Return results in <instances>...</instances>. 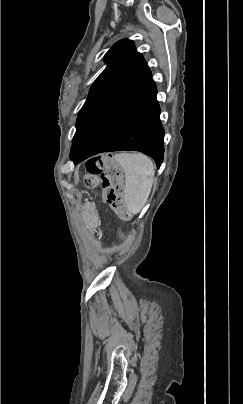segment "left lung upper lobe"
<instances>
[{
    "label": "left lung upper lobe",
    "instance_id": "left-lung-upper-lobe-1",
    "mask_svg": "<svg viewBox=\"0 0 243 404\" xmlns=\"http://www.w3.org/2000/svg\"><path fill=\"white\" fill-rule=\"evenodd\" d=\"M107 67L92 84L78 113L70 158L83 144L89 131L109 108L151 78V71L131 40L118 41L104 56Z\"/></svg>",
    "mask_w": 243,
    "mask_h": 404
}]
</instances>
